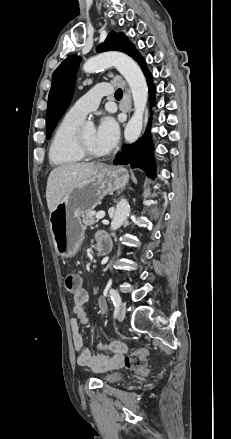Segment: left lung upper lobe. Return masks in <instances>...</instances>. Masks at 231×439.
<instances>
[{
    "mask_svg": "<svg viewBox=\"0 0 231 439\" xmlns=\"http://www.w3.org/2000/svg\"><path fill=\"white\" fill-rule=\"evenodd\" d=\"M112 50L122 51L134 59L139 55L138 50L123 33L114 31H111L105 42L97 47L98 52ZM79 63L80 58L72 55L66 58L53 73L46 114L47 139H50L59 119L71 102Z\"/></svg>",
    "mask_w": 231,
    "mask_h": 439,
    "instance_id": "5c2ea615",
    "label": "left lung upper lobe"
}]
</instances>
